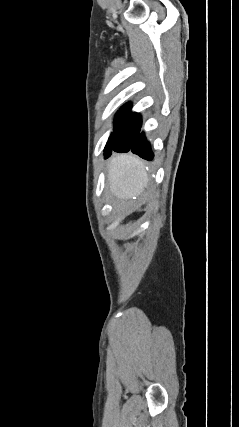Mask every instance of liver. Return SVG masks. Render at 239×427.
<instances>
[{"label": "liver", "instance_id": "liver-1", "mask_svg": "<svg viewBox=\"0 0 239 427\" xmlns=\"http://www.w3.org/2000/svg\"><path fill=\"white\" fill-rule=\"evenodd\" d=\"M107 179L112 195L121 200L141 196L148 183L145 164L130 154L117 155L110 160Z\"/></svg>", "mask_w": 239, "mask_h": 427}]
</instances>
